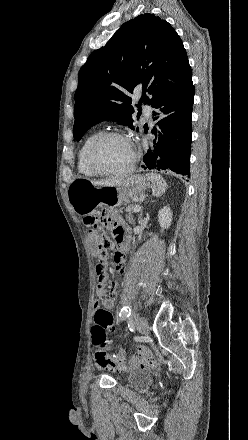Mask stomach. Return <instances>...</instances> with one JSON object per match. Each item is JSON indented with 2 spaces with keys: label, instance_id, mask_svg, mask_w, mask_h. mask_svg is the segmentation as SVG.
<instances>
[{
  "label": "stomach",
  "instance_id": "stomach-1",
  "mask_svg": "<svg viewBox=\"0 0 248 440\" xmlns=\"http://www.w3.org/2000/svg\"><path fill=\"white\" fill-rule=\"evenodd\" d=\"M149 187L146 178L132 175L118 184L96 186L92 181L78 178L68 186V200L79 214H86L100 205L118 207L126 198H137Z\"/></svg>",
  "mask_w": 248,
  "mask_h": 440
}]
</instances>
